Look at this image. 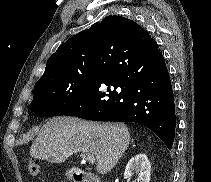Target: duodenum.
<instances>
[{"label": "duodenum", "mask_w": 211, "mask_h": 182, "mask_svg": "<svg viewBox=\"0 0 211 182\" xmlns=\"http://www.w3.org/2000/svg\"><path fill=\"white\" fill-rule=\"evenodd\" d=\"M74 182H102L97 176L89 172L75 170Z\"/></svg>", "instance_id": "obj_1"}]
</instances>
